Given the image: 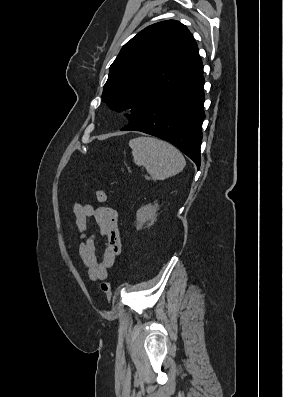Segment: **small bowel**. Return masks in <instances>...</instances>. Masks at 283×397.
Instances as JSON below:
<instances>
[{"instance_id":"small-bowel-1","label":"small bowel","mask_w":283,"mask_h":397,"mask_svg":"<svg viewBox=\"0 0 283 397\" xmlns=\"http://www.w3.org/2000/svg\"><path fill=\"white\" fill-rule=\"evenodd\" d=\"M75 224L81 243L79 245L80 258L94 280H104L108 271L121 253V239L118 228L117 212L110 207L95 208L90 204L76 203L73 207ZM94 219L100 234L105 238V249L102 260L99 261L94 236L88 234L90 221Z\"/></svg>"}]
</instances>
